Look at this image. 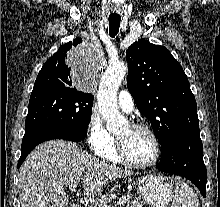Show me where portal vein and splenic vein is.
Listing matches in <instances>:
<instances>
[{
    "label": "portal vein and splenic vein",
    "mask_w": 220,
    "mask_h": 207,
    "mask_svg": "<svg viewBox=\"0 0 220 207\" xmlns=\"http://www.w3.org/2000/svg\"><path fill=\"white\" fill-rule=\"evenodd\" d=\"M77 185H78V181H74L73 183H71V184L69 185V188H70L71 190H75V188L77 187ZM128 200H129V197H122V198L117 202V204H115V207H116V205H123V204H125ZM105 207H110V206H109V205H105Z\"/></svg>",
    "instance_id": "18ae733b"
}]
</instances>
